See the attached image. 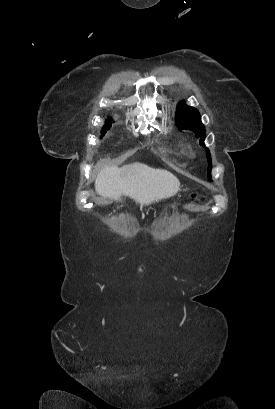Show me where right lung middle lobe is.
<instances>
[{"mask_svg":"<svg viewBox=\"0 0 275 409\" xmlns=\"http://www.w3.org/2000/svg\"><path fill=\"white\" fill-rule=\"evenodd\" d=\"M109 122L106 121V124L103 126L102 132H101V138L104 136L106 131L111 127V123L113 122L111 119L108 120Z\"/></svg>","mask_w":275,"mask_h":409,"instance_id":"dd1d6c3e","label":"right lung middle lobe"}]
</instances>
